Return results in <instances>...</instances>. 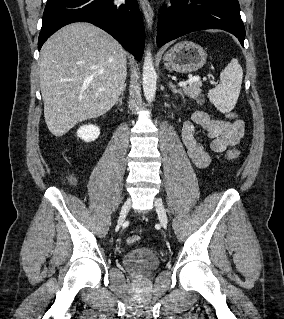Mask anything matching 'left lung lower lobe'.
<instances>
[{"label": "left lung lower lobe", "mask_w": 284, "mask_h": 319, "mask_svg": "<svg viewBox=\"0 0 284 319\" xmlns=\"http://www.w3.org/2000/svg\"><path fill=\"white\" fill-rule=\"evenodd\" d=\"M221 29L235 35L244 46L245 28L238 0H171L162 7L157 26V46L187 33Z\"/></svg>", "instance_id": "0a47b994"}]
</instances>
